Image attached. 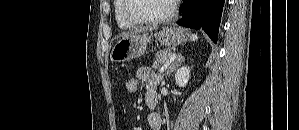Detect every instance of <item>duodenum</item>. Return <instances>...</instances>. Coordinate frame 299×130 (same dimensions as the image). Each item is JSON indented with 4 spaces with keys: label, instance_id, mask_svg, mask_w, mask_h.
Returning a JSON list of instances; mask_svg holds the SVG:
<instances>
[{
    "label": "duodenum",
    "instance_id": "obj_1",
    "mask_svg": "<svg viewBox=\"0 0 299 130\" xmlns=\"http://www.w3.org/2000/svg\"><path fill=\"white\" fill-rule=\"evenodd\" d=\"M146 103L151 109H154L157 104V96L154 94H150L147 97Z\"/></svg>",
    "mask_w": 299,
    "mask_h": 130
}]
</instances>
